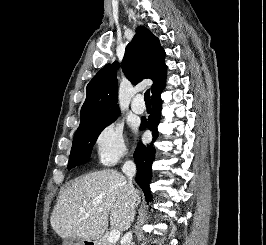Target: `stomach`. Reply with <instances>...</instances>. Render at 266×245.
Instances as JSON below:
<instances>
[{
  "instance_id": "1",
  "label": "stomach",
  "mask_w": 266,
  "mask_h": 245,
  "mask_svg": "<svg viewBox=\"0 0 266 245\" xmlns=\"http://www.w3.org/2000/svg\"><path fill=\"white\" fill-rule=\"evenodd\" d=\"M76 243L74 245H86V243H91V245H98L97 241H81V239H75Z\"/></svg>"
}]
</instances>
